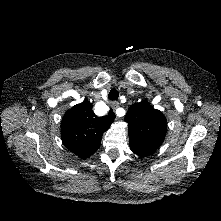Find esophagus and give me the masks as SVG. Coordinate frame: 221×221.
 <instances>
[{"label": "esophagus", "instance_id": "34e87169", "mask_svg": "<svg viewBox=\"0 0 221 221\" xmlns=\"http://www.w3.org/2000/svg\"><path fill=\"white\" fill-rule=\"evenodd\" d=\"M118 107H119V103H118V102H113V103L111 104V106H110V108H111V111H110L111 116H114V119H115V120H118V119H119V117L116 115V112H115V110H116Z\"/></svg>", "mask_w": 221, "mask_h": 221}]
</instances>
